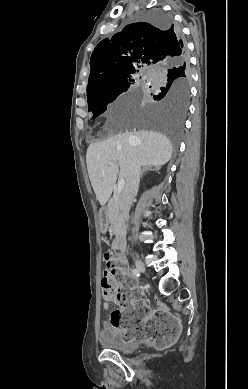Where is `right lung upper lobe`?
<instances>
[{"label": "right lung upper lobe", "mask_w": 248, "mask_h": 389, "mask_svg": "<svg viewBox=\"0 0 248 389\" xmlns=\"http://www.w3.org/2000/svg\"><path fill=\"white\" fill-rule=\"evenodd\" d=\"M178 40L174 25L159 28L146 22L127 25L111 39L102 40L91 55L87 97L116 79L133 74L139 64L159 67L171 60L188 62L185 44ZM178 47L181 48L176 50Z\"/></svg>", "instance_id": "obj_1"}]
</instances>
